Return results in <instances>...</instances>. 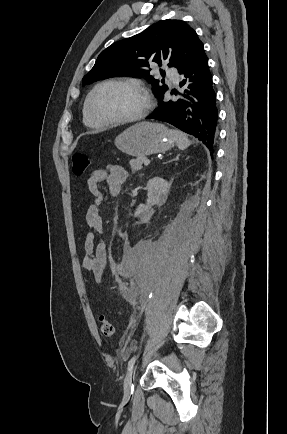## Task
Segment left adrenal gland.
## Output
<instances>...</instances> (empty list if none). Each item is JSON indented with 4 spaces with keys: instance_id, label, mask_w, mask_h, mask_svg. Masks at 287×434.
<instances>
[{
    "instance_id": "obj_1",
    "label": "left adrenal gland",
    "mask_w": 287,
    "mask_h": 434,
    "mask_svg": "<svg viewBox=\"0 0 287 434\" xmlns=\"http://www.w3.org/2000/svg\"><path fill=\"white\" fill-rule=\"evenodd\" d=\"M179 156H180V155H177L174 159L168 161L167 163H170V162H172V161H177V160L179 159Z\"/></svg>"
}]
</instances>
